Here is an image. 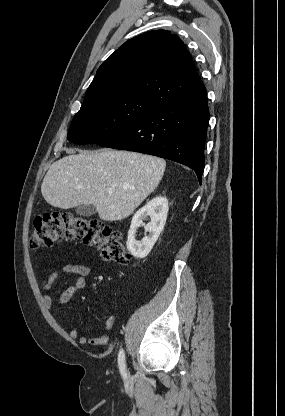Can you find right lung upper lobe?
Masks as SVG:
<instances>
[{
  "label": "right lung upper lobe",
  "mask_w": 285,
  "mask_h": 416,
  "mask_svg": "<svg viewBox=\"0 0 285 416\" xmlns=\"http://www.w3.org/2000/svg\"><path fill=\"white\" fill-rule=\"evenodd\" d=\"M205 89L183 42L168 31L124 43L100 66L81 109L137 96L159 106Z\"/></svg>",
  "instance_id": "right-lung-upper-lobe-1"
}]
</instances>
